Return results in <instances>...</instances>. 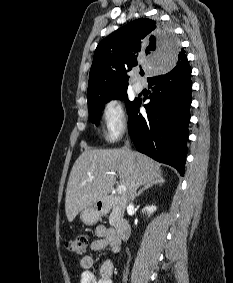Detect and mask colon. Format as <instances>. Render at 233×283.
I'll return each instance as SVG.
<instances>
[{"instance_id": "obj_1", "label": "colon", "mask_w": 233, "mask_h": 283, "mask_svg": "<svg viewBox=\"0 0 233 283\" xmlns=\"http://www.w3.org/2000/svg\"><path fill=\"white\" fill-rule=\"evenodd\" d=\"M87 244V236L78 235L67 242V248L76 255H82L86 250Z\"/></svg>"}]
</instances>
